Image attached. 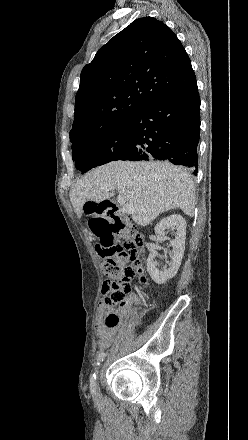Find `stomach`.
<instances>
[{
	"mask_svg": "<svg viewBox=\"0 0 248 440\" xmlns=\"http://www.w3.org/2000/svg\"><path fill=\"white\" fill-rule=\"evenodd\" d=\"M104 212L103 204H85L84 216L87 232L99 241H116L117 233L112 226L111 218H98Z\"/></svg>",
	"mask_w": 248,
	"mask_h": 440,
	"instance_id": "1",
	"label": "stomach"
}]
</instances>
